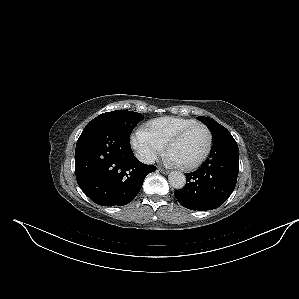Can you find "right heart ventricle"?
<instances>
[{"label": "right heart ventricle", "mask_w": 299, "mask_h": 299, "mask_svg": "<svg viewBox=\"0 0 299 299\" xmlns=\"http://www.w3.org/2000/svg\"><path fill=\"white\" fill-rule=\"evenodd\" d=\"M195 122L194 119L165 116L151 120L146 124L145 129L165 145L176 133Z\"/></svg>", "instance_id": "1"}]
</instances>
